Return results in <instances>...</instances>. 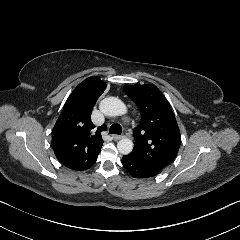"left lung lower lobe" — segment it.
I'll use <instances>...</instances> for the list:
<instances>
[{
  "label": "left lung lower lobe",
  "mask_w": 240,
  "mask_h": 240,
  "mask_svg": "<svg viewBox=\"0 0 240 240\" xmlns=\"http://www.w3.org/2000/svg\"><path fill=\"white\" fill-rule=\"evenodd\" d=\"M122 164L125 169L135 178H149L156 176L161 170L156 168H148L142 164L135 162L129 155H124Z\"/></svg>",
  "instance_id": "0a47b994"
}]
</instances>
